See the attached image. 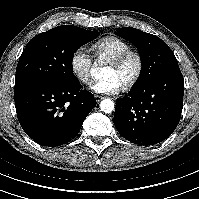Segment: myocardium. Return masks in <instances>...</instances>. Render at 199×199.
Returning a JSON list of instances; mask_svg holds the SVG:
<instances>
[{"instance_id": "1", "label": "myocardium", "mask_w": 199, "mask_h": 199, "mask_svg": "<svg viewBox=\"0 0 199 199\" xmlns=\"http://www.w3.org/2000/svg\"><path fill=\"white\" fill-rule=\"evenodd\" d=\"M130 58H133L136 62V70L133 75L123 84L125 88H131L138 83L144 72V58L140 51L135 49H129L119 55L117 58L109 62V65L114 68L122 67Z\"/></svg>"}]
</instances>
